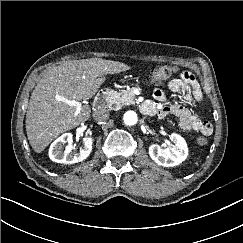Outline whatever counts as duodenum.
Returning <instances> with one entry per match:
<instances>
[{"instance_id":"obj_1","label":"duodenum","mask_w":243,"mask_h":243,"mask_svg":"<svg viewBox=\"0 0 243 243\" xmlns=\"http://www.w3.org/2000/svg\"><path fill=\"white\" fill-rule=\"evenodd\" d=\"M110 93L111 89L105 88L96 95L93 102V109L95 111L101 110L106 107Z\"/></svg>"}]
</instances>
